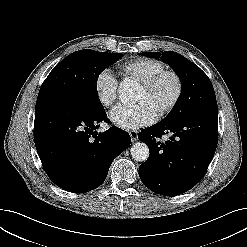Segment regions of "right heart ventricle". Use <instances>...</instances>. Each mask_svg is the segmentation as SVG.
I'll return each instance as SVG.
<instances>
[{"instance_id":"e07e8e85","label":"right heart ventricle","mask_w":247,"mask_h":247,"mask_svg":"<svg viewBox=\"0 0 247 247\" xmlns=\"http://www.w3.org/2000/svg\"><path fill=\"white\" fill-rule=\"evenodd\" d=\"M165 69V65L157 59L135 58L122 63L119 73L139 82Z\"/></svg>"}]
</instances>
